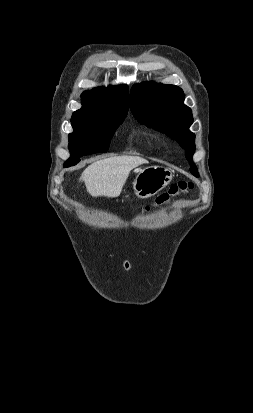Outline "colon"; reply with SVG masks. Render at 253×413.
<instances>
[{
	"label": "colon",
	"mask_w": 253,
	"mask_h": 413,
	"mask_svg": "<svg viewBox=\"0 0 253 413\" xmlns=\"http://www.w3.org/2000/svg\"><path fill=\"white\" fill-rule=\"evenodd\" d=\"M193 188V183L189 181H180L178 183L173 184L167 192L161 194L155 200V203L152 206H146L141 211L149 212L155 207H161L168 205L172 199L179 196L180 194L187 193Z\"/></svg>",
	"instance_id": "1"
}]
</instances>
